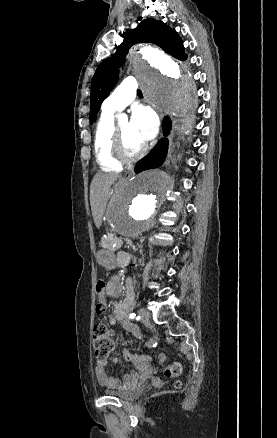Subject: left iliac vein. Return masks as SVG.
<instances>
[{
    "label": "left iliac vein",
    "instance_id": "4c4485c4",
    "mask_svg": "<svg viewBox=\"0 0 277 438\" xmlns=\"http://www.w3.org/2000/svg\"><path fill=\"white\" fill-rule=\"evenodd\" d=\"M139 315L142 322H148L150 319V314L145 308L139 310Z\"/></svg>",
    "mask_w": 277,
    "mask_h": 438
}]
</instances>
